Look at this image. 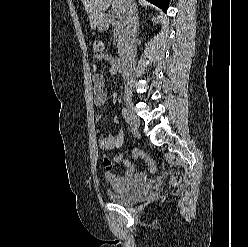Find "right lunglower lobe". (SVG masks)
<instances>
[{"mask_svg": "<svg viewBox=\"0 0 248 247\" xmlns=\"http://www.w3.org/2000/svg\"><path fill=\"white\" fill-rule=\"evenodd\" d=\"M155 5H158L159 7H161L162 9H164L165 11L168 8L169 5V0H147Z\"/></svg>", "mask_w": 248, "mask_h": 247, "instance_id": "right-lung-lower-lobe-1", "label": "right lung lower lobe"}]
</instances>
